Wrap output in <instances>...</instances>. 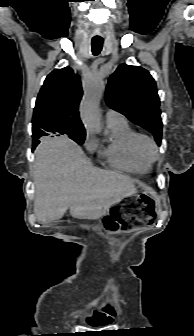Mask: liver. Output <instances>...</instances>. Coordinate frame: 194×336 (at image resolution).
<instances>
[{
    "instance_id": "obj_1",
    "label": "liver",
    "mask_w": 194,
    "mask_h": 336,
    "mask_svg": "<svg viewBox=\"0 0 194 336\" xmlns=\"http://www.w3.org/2000/svg\"><path fill=\"white\" fill-rule=\"evenodd\" d=\"M39 222L70 214L99 219L123 198L136 193L134 180L120 172L92 165L83 150L68 138L45 139L35 150L33 166Z\"/></svg>"
}]
</instances>
